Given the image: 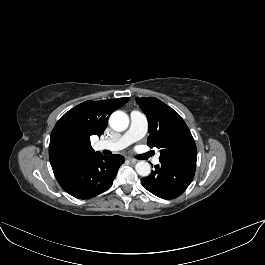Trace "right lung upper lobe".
<instances>
[{
    "label": "right lung upper lobe",
    "instance_id": "right-lung-upper-lobe-1",
    "mask_svg": "<svg viewBox=\"0 0 265 265\" xmlns=\"http://www.w3.org/2000/svg\"><path fill=\"white\" fill-rule=\"evenodd\" d=\"M129 98L85 101L65 113L52 130L49 159L56 173L66 167L92 157L90 136L103 134L112 112Z\"/></svg>",
    "mask_w": 265,
    "mask_h": 265
}]
</instances>
